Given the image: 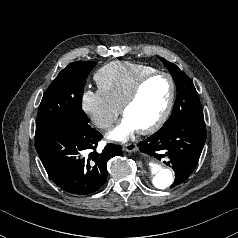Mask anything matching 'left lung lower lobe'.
Listing matches in <instances>:
<instances>
[{
    "label": "left lung lower lobe",
    "instance_id": "obj_1",
    "mask_svg": "<svg viewBox=\"0 0 238 238\" xmlns=\"http://www.w3.org/2000/svg\"><path fill=\"white\" fill-rule=\"evenodd\" d=\"M206 140L204 118H186L162 127L139 143L140 151L164 163L175 171L171 188L183 183L194 171Z\"/></svg>",
    "mask_w": 238,
    "mask_h": 238
}]
</instances>
